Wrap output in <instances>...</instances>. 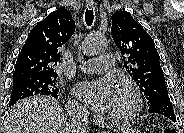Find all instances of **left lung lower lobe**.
<instances>
[{
  "label": "left lung lower lobe",
  "mask_w": 184,
  "mask_h": 133,
  "mask_svg": "<svg viewBox=\"0 0 184 133\" xmlns=\"http://www.w3.org/2000/svg\"><path fill=\"white\" fill-rule=\"evenodd\" d=\"M148 112L161 114V115H164L165 117L169 118L173 122L176 121L173 106H172L170 100H161V101H158V102L151 104L149 109H148Z\"/></svg>",
  "instance_id": "0a47b994"
}]
</instances>
